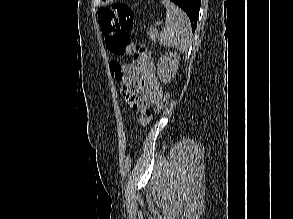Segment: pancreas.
<instances>
[{"label":"pancreas","mask_w":293,"mask_h":219,"mask_svg":"<svg viewBox=\"0 0 293 219\" xmlns=\"http://www.w3.org/2000/svg\"><path fill=\"white\" fill-rule=\"evenodd\" d=\"M149 36H150V39L153 41V42H156L157 39H158V32L156 30H150L149 31Z\"/></svg>","instance_id":"obj_1"}]
</instances>
